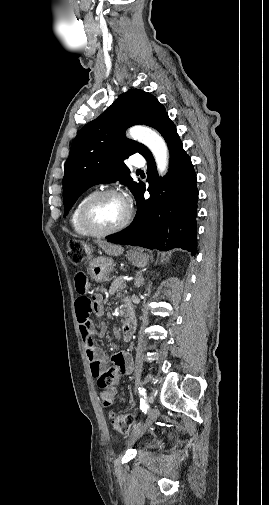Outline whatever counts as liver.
<instances>
[{"mask_svg":"<svg viewBox=\"0 0 269 505\" xmlns=\"http://www.w3.org/2000/svg\"><path fill=\"white\" fill-rule=\"evenodd\" d=\"M97 243L102 247V249L105 251V253L110 256H119L124 251V249L118 245L102 243L100 241H98Z\"/></svg>","mask_w":269,"mask_h":505,"instance_id":"obj_1","label":"liver"}]
</instances>
